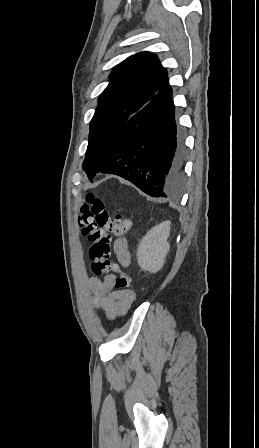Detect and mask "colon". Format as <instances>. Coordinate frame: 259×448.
<instances>
[{
    "mask_svg": "<svg viewBox=\"0 0 259 448\" xmlns=\"http://www.w3.org/2000/svg\"><path fill=\"white\" fill-rule=\"evenodd\" d=\"M78 223L91 244L89 256L92 271L96 275L116 274L114 286L118 290L128 289L131 278L120 269L118 263L111 260V243L113 236H124L130 231L132 220L120 214L111 216L97 196L87 193L85 203L79 209Z\"/></svg>",
    "mask_w": 259,
    "mask_h": 448,
    "instance_id": "1",
    "label": "colon"
}]
</instances>
